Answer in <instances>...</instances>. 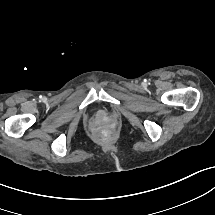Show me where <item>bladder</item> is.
<instances>
[{"label":"bladder","mask_w":215,"mask_h":215,"mask_svg":"<svg viewBox=\"0 0 215 215\" xmlns=\"http://www.w3.org/2000/svg\"><path fill=\"white\" fill-rule=\"evenodd\" d=\"M101 116H102L103 118H108V117H109L108 111H105Z\"/></svg>","instance_id":"bladder-1"}]
</instances>
